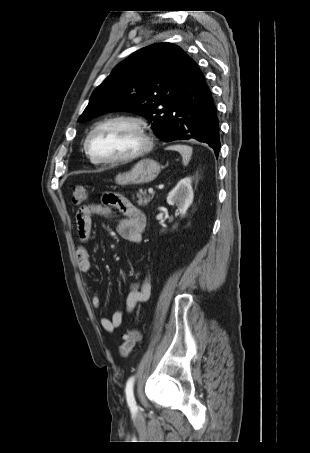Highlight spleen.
<instances>
[{"mask_svg":"<svg viewBox=\"0 0 310 453\" xmlns=\"http://www.w3.org/2000/svg\"><path fill=\"white\" fill-rule=\"evenodd\" d=\"M166 149L179 152L182 156L183 165L184 166L188 165V163L191 159V156H192V151H193L192 147L187 146V145L178 144V145L168 146Z\"/></svg>","mask_w":310,"mask_h":453,"instance_id":"3e777b00","label":"spleen"}]
</instances>
